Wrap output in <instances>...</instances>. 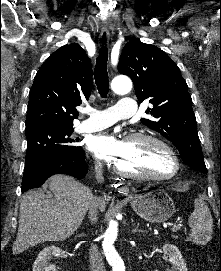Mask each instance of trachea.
Here are the masks:
<instances>
[{
	"label": "trachea",
	"mask_w": 221,
	"mask_h": 271,
	"mask_svg": "<svg viewBox=\"0 0 221 271\" xmlns=\"http://www.w3.org/2000/svg\"><path fill=\"white\" fill-rule=\"evenodd\" d=\"M108 49L102 47L99 50L97 63L95 66L94 79L101 97L106 98L109 92V78L107 72Z\"/></svg>",
	"instance_id": "obj_1"
}]
</instances>
